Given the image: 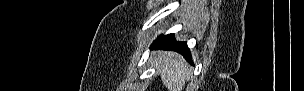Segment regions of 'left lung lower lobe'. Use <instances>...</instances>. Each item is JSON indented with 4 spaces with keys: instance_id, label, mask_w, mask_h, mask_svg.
<instances>
[{
    "instance_id": "left-lung-lower-lobe-1",
    "label": "left lung lower lobe",
    "mask_w": 304,
    "mask_h": 91,
    "mask_svg": "<svg viewBox=\"0 0 304 91\" xmlns=\"http://www.w3.org/2000/svg\"><path fill=\"white\" fill-rule=\"evenodd\" d=\"M152 49L172 50L182 54L191 64V54L186 42H176L174 34L161 35L152 44Z\"/></svg>"
}]
</instances>
